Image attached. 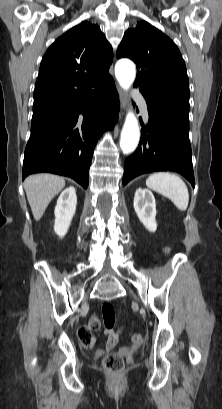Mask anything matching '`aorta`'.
<instances>
[{
  "label": "aorta",
  "instance_id": "1",
  "mask_svg": "<svg viewBox=\"0 0 222 409\" xmlns=\"http://www.w3.org/2000/svg\"><path fill=\"white\" fill-rule=\"evenodd\" d=\"M115 75L120 86L128 90L135 80V65L127 59L119 60L115 65ZM140 131L138 120L132 111L128 112L120 137V148L124 154H130L138 146Z\"/></svg>",
  "mask_w": 222,
  "mask_h": 409
}]
</instances>
